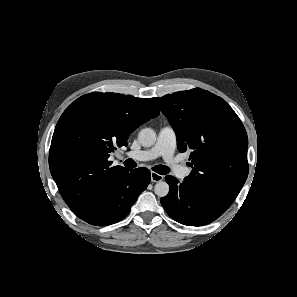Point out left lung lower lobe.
<instances>
[{
    "label": "left lung lower lobe",
    "mask_w": 297,
    "mask_h": 297,
    "mask_svg": "<svg viewBox=\"0 0 297 297\" xmlns=\"http://www.w3.org/2000/svg\"><path fill=\"white\" fill-rule=\"evenodd\" d=\"M168 195L161 204L175 221L188 226H203L216 220L224 210L194 192L186 183H179L173 176H166Z\"/></svg>",
    "instance_id": "obj_1"
}]
</instances>
